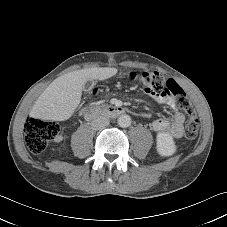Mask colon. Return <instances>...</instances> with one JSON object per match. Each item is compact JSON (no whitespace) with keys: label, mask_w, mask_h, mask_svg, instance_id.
<instances>
[{"label":"colon","mask_w":227,"mask_h":227,"mask_svg":"<svg viewBox=\"0 0 227 227\" xmlns=\"http://www.w3.org/2000/svg\"><path fill=\"white\" fill-rule=\"evenodd\" d=\"M130 79L140 84L145 91L156 90L160 93L166 89L175 99L176 106L187 115L185 135L194 139L199 131V119L185 91L173 80H165L158 72H131ZM161 96V94H160ZM60 127L56 122L30 118L24 125L25 142L29 151L35 155L41 154L49 141L58 136Z\"/></svg>","instance_id":"colon-1"}]
</instances>
